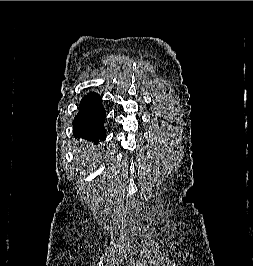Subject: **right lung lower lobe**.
I'll use <instances>...</instances> for the list:
<instances>
[{"label": "right lung lower lobe", "mask_w": 253, "mask_h": 266, "mask_svg": "<svg viewBox=\"0 0 253 266\" xmlns=\"http://www.w3.org/2000/svg\"><path fill=\"white\" fill-rule=\"evenodd\" d=\"M73 121L74 136L97 144L106 138L104 122L106 111L102 106V98L98 93L85 95Z\"/></svg>", "instance_id": "98d812e1"}]
</instances>
